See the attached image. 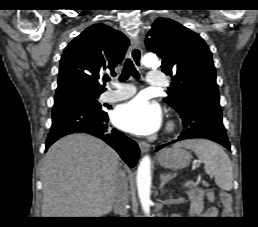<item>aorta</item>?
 Listing matches in <instances>:
<instances>
[{"instance_id":"1","label":"aorta","mask_w":258,"mask_h":227,"mask_svg":"<svg viewBox=\"0 0 258 227\" xmlns=\"http://www.w3.org/2000/svg\"><path fill=\"white\" fill-rule=\"evenodd\" d=\"M159 63L158 57L155 54L148 53L142 58V64L146 67H154ZM151 159L148 155L144 156L137 170V188L138 197L145 214L150 213L151 199Z\"/></svg>"}]
</instances>
